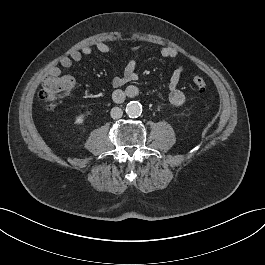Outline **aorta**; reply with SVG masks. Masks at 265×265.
<instances>
[{
    "label": "aorta",
    "instance_id": "obj_1",
    "mask_svg": "<svg viewBox=\"0 0 265 265\" xmlns=\"http://www.w3.org/2000/svg\"><path fill=\"white\" fill-rule=\"evenodd\" d=\"M125 111L129 117H138L142 113V106L136 101H131L126 105Z\"/></svg>",
    "mask_w": 265,
    "mask_h": 265
}]
</instances>
